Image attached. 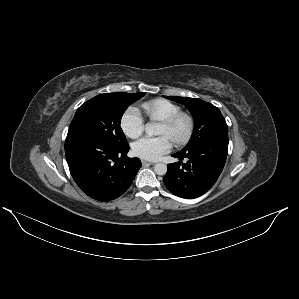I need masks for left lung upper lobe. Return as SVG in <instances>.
I'll list each match as a JSON object with an SVG mask.
<instances>
[{"instance_id":"obj_1","label":"left lung upper lobe","mask_w":299,"mask_h":299,"mask_svg":"<svg viewBox=\"0 0 299 299\" xmlns=\"http://www.w3.org/2000/svg\"><path fill=\"white\" fill-rule=\"evenodd\" d=\"M165 98L184 104L191 112L195 127L189 143L179 152L186 151L214 137L228 136L227 124L220 110L201 99L171 96Z\"/></svg>"}]
</instances>
